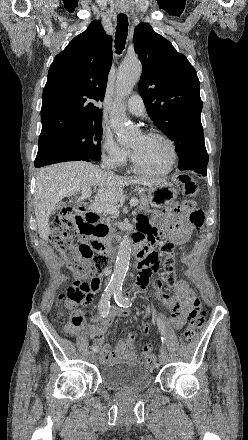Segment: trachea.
Returning <instances> with one entry per match:
<instances>
[{
	"instance_id": "trachea-1",
	"label": "trachea",
	"mask_w": 248,
	"mask_h": 440,
	"mask_svg": "<svg viewBox=\"0 0 248 440\" xmlns=\"http://www.w3.org/2000/svg\"><path fill=\"white\" fill-rule=\"evenodd\" d=\"M117 21L118 24L116 27L115 48H116V53L121 54L126 44L127 32H128V19L125 14H119Z\"/></svg>"
}]
</instances>
